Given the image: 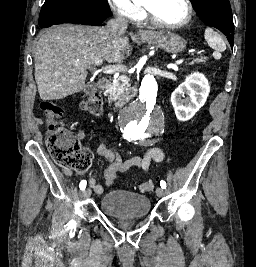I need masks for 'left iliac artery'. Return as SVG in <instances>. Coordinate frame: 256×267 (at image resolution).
Here are the masks:
<instances>
[{"label":"left iliac artery","mask_w":256,"mask_h":267,"mask_svg":"<svg viewBox=\"0 0 256 267\" xmlns=\"http://www.w3.org/2000/svg\"><path fill=\"white\" fill-rule=\"evenodd\" d=\"M160 186L163 188V189H166V182L164 180H161L160 181Z\"/></svg>","instance_id":"obj_1"}]
</instances>
